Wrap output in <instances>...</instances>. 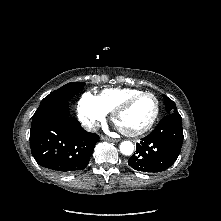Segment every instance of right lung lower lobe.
<instances>
[{
	"label": "right lung lower lobe",
	"instance_id": "1",
	"mask_svg": "<svg viewBox=\"0 0 221 221\" xmlns=\"http://www.w3.org/2000/svg\"><path fill=\"white\" fill-rule=\"evenodd\" d=\"M99 136L69 117L68 102L48 107L32 117L30 146L36 162L59 173L84 169Z\"/></svg>",
	"mask_w": 221,
	"mask_h": 221
}]
</instances>
